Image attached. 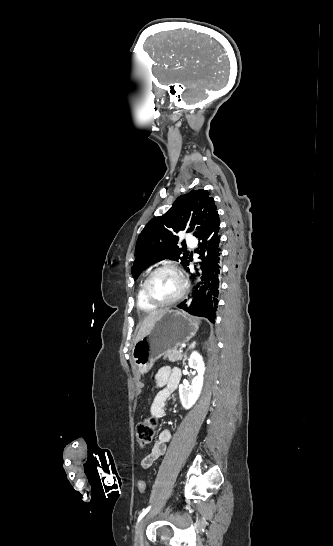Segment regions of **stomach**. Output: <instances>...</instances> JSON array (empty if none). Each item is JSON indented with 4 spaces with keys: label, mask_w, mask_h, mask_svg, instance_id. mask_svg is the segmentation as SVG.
<instances>
[{
    "label": "stomach",
    "mask_w": 333,
    "mask_h": 546,
    "mask_svg": "<svg viewBox=\"0 0 333 546\" xmlns=\"http://www.w3.org/2000/svg\"><path fill=\"white\" fill-rule=\"evenodd\" d=\"M198 328V319L178 310H168L133 347L132 358L138 371L147 373L157 359L189 341Z\"/></svg>",
    "instance_id": "obj_1"
}]
</instances>
